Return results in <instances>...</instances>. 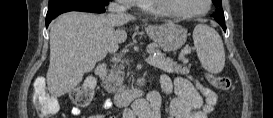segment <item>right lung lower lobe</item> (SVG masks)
Masks as SVG:
<instances>
[{
    "label": "right lung lower lobe",
    "mask_w": 273,
    "mask_h": 118,
    "mask_svg": "<svg viewBox=\"0 0 273 118\" xmlns=\"http://www.w3.org/2000/svg\"><path fill=\"white\" fill-rule=\"evenodd\" d=\"M69 11L103 13L105 8L100 4L82 0H50L46 15V27L55 17Z\"/></svg>",
    "instance_id": "obj_1"
}]
</instances>
